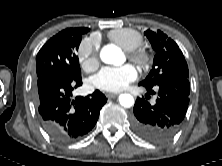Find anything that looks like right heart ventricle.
<instances>
[{
  "label": "right heart ventricle",
  "mask_w": 222,
  "mask_h": 166,
  "mask_svg": "<svg viewBox=\"0 0 222 166\" xmlns=\"http://www.w3.org/2000/svg\"><path fill=\"white\" fill-rule=\"evenodd\" d=\"M108 37L128 52L140 48L143 44L142 35L133 29H115L108 33Z\"/></svg>",
  "instance_id": "right-heart-ventricle-1"
}]
</instances>
